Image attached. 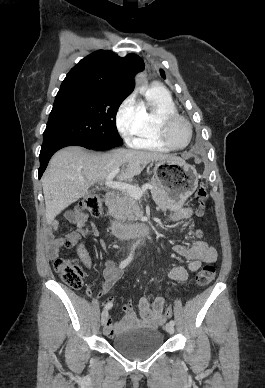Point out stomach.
Returning a JSON list of instances; mask_svg holds the SVG:
<instances>
[{
	"mask_svg": "<svg viewBox=\"0 0 265 388\" xmlns=\"http://www.w3.org/2000/svg\"><path fill=\"white\" fill-rule=\"evenodd\" d=\"M154 178L171 198V209L182 207L198 187L196 169L184 160L165 159L156 161Z\"/></svg>",
	"mask_w": 265,
	"mask_h": 388,
	"instance_id": "stomach-1",
	"label": "stomach"
}]
</instances>
